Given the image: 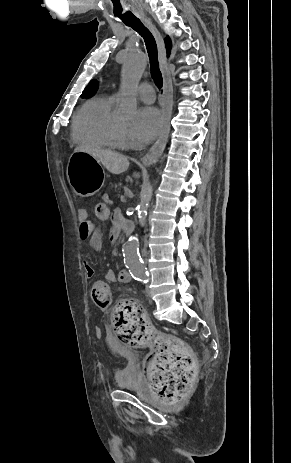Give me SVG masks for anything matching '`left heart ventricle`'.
<instances>
[{
    "label": "left heart ventricle",
    "instance_id": "b2bd125f",
    "mask_svg": "<svg viewBox=\"0 0 291 463\" xmlns=\"http://www.w3.org/2000/svg\"><path fill=\"white\" fill-rule=\"evenodd\" d=\"M119 124L125 129H127L129 127V125L124 123V122H119Z\"/></svg>",
    "mask_w": 291,
    "mask_h": 463
}]
</instances>
